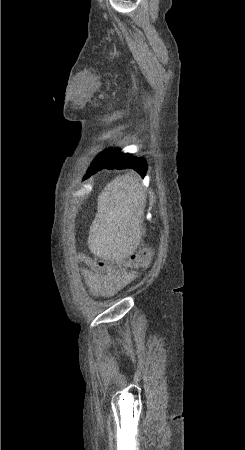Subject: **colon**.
Returning a JSON list of instances; mask_svg holds the SVG:
<instances>
[{
  "label": "colon",
  "instance_id": "1",
  "mask_svg": "<svg viewBox=\"0 0 245 450\" xmlns=\"http://www.w3.org/2000/svg\"><path fill=\"white\" fill-rule=\"evenodd\" d=\"M81 258L85 259L86 263L95 274L101 275L109 270L122 273L128 267L136 269L146 267L151 259V250L149 248H140L133 252L128 259L114 260L111 264H109L105 259L99 257L89 258L81 255Z\"/></svg>",
  "mask_w": 245,
  "mask_h": 450
}]
</instances>
